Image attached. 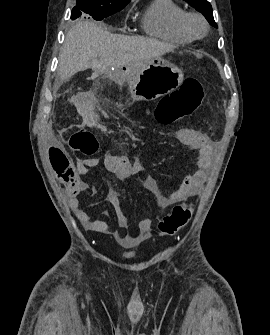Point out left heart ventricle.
<instances>
[{"label": "left heart ventricle", "instance_id": "b2bd125f", "mask_svg": "<svg viewBox=\"0 0 270 335\" xmlns=\"http://www.w3.org/2000/svg\"><path fill=\"white\" fill-rule=\"evenodd\" d=\"M190 27L196 35H201L204 32V26L198 19H192L190 21Z\"/></svg>", "mask_w": 270, "mask_h": 335}]
</instances>
